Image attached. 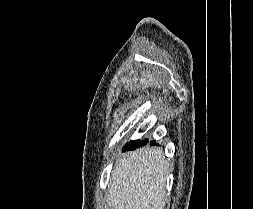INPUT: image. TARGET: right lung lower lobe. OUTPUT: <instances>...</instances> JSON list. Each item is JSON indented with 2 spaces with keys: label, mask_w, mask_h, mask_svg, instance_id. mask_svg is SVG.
I'll list each match as a JSON object with an SVG mask.
<instances>
[{
  "label": "right lung lower lobe",
  "mask_w": 253,
  "mask_h": 209,
  "mask_svg": "<svg viewBox=\"0 0 253 209\" xmlns=\"http://www.w3.org/2000/svg\"><path fill=\"white\" fill-rule=\"evenodd\" d=\"M147 142H148V140L147 141L145 140V142L142 145L146 144ZM154 144H155V141H151V145H154ZM142 145H140V146H142ZM140 146H138V147H140Z\"/></svg>",
  "instance_id": "98d812e1"
}]
</instances>
